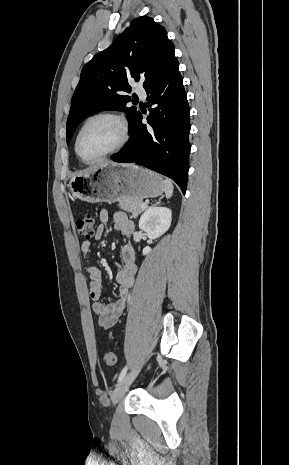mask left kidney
<instances>
[{
    "label": "left kidney",
    "mask_w": 289,
    "mask_h": 465,
    "mask_svg": "<svg viewBox=\"0 0 289 465\" xmlns=\"http://www.w3.org/2000/svg\"><path fill=\"white\" fill-rule=\"evenodd\" d=\"M172 211L167 207L152 206L145 210L139 220V228L152 239L158 238L164 234L171 225ZM149 246L143 249V255L149 254Z\"/></svg>",
    "instance_id": "5707ae66"
}]
</instances>
